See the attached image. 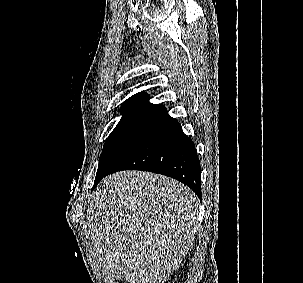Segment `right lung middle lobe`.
I'll return each mask as SVG.
<instances>
[{"label": "right lung middle lobe", "instance_id": "dd1d6c3e", "mask_svg": "<svg viewBox=\"0 0 303 283\" xmlns=\"http://www.w3.org/2000/svg\"><path fill=\"white\" fill-rule=\"evenodd\" d=\"M155 119L156 118L149 116H125L121 118L105 142L95 181L111 169L126 149Z\"/></svg>", "mask_w": 303, "mask_h": 283}]
</instances>
